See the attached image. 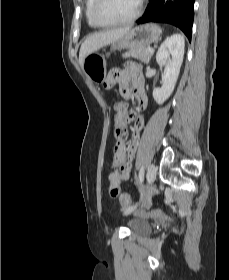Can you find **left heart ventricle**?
<instances>
[{
    "mask_svg": "<svg viewBox=\"0 0 229 280\" xmlns=\"http://www.w3.org/2000/svg\"><path fill=\"white\" fill-rule=\"evenodd\" d=\"M138 4L139 0H105L100 17L105 21L126 19L136 11Z\"/></svg>",
    "mask_w": 229,
    "mask_h": 280,
    "instance_id": "obj_1",
    "label": "left heart ventricle"
}]
</instances>
